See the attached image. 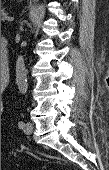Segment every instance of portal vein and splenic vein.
Here are the masks:
<instances>
[{
	"instance_id": "18ae733b",
	"label": "portal vein and splenic vein",
	"mask_w": 109,
	"mask_h": 170,
	"mask_svg": "<svg viewBox=\"0 0 109 170\" xmlns=\"http://www.w3.org/2000/svg\"><path fill=\"white\" fill-rule=\"evenodd\" d=\"M13 21L14 20V18H12V17H9V16H4V18H3V21Z\"/></svg>"
}]
</instances>
